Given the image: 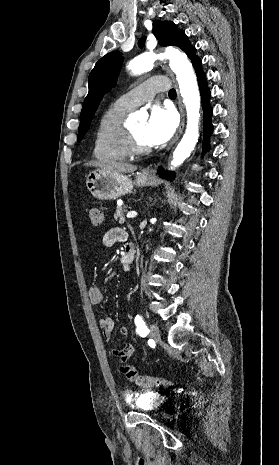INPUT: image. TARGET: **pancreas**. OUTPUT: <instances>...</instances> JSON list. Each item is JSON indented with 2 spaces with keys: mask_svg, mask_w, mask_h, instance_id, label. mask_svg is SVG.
<instances>
[{
  "mask_svg": "<svg viewBox=\"0 0 279 465\" xmlns=\"http://www.w3.org/2000/svg\"><path fill=\"white\" fill-rule=\"evenodd\" d=\"M127 211V206H118L116 213L114 215L115 220H119V223L122 224L125 221V213Z\"/></svg>",
  "mask_w": 279,
  "mask_h": 465,
  "instance_id": "obj_1",
  "label": "pancreas"
}]
</instances>
